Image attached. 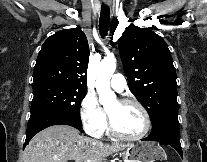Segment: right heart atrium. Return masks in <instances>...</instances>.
Returning <instances> with one entry per match:
<instances>
[{"label": "right heart atrium", "instance_id": "d8ad5b80", "mask_svg": "<svg viewBox=\"0 0 207 162\" xmlns=\"http://www.w3.org/2000/svg\"><path fill=\"white\" fill-rule=\"evenodd\" d=\"M80 120L91 135L101 136L107 127V118L94 93L88 92L80 105Z\"/></svg>", "mask_w": 207, "mask_h": 162}]
</instances>
